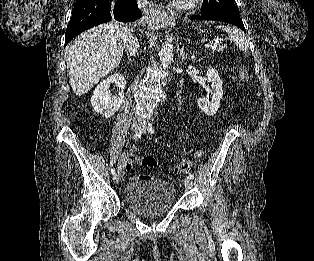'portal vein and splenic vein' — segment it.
<instances>
[{"label":"portal vein and splenic vein","mask_w":314,"mask_h":261,"mask_svg":"<svg viewBox=\"0 0 314 261\" xmlns=\"http://www.w3.org/2000/svg\"><path fill=\"white\" fill-rule=\"evenodd\" d=\"M220 42L217 40V41H215L214 43H211V48L212 49H216V47H217V44H219Z\"/></svg>","instance_id":"obj_1"}]
</instances>
